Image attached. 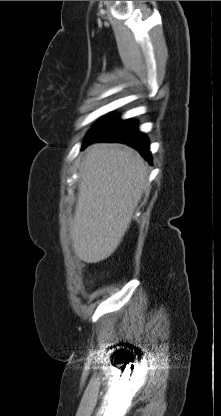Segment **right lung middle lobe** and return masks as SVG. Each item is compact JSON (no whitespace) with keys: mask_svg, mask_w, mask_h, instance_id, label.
I'll list each match as a JSON object with an SVG mask.
<instances>
[{"mask_svg":"<svg viewBox=\"0 0 221 416\" xmlns=\"http://www.w3.org/2000/svg\"><path fill=\"white\" fill-rule=\"evenodd\" d=\"M110 119V117L105 118L103 121L99 122L97 125H95L89 132V134H91L92 132H94L95 130H97L98 128H100L104 123H106L108 120ZM88 134V135H89Z\"/></svg>","mask_w":221,"mask_h":416,"instance_id":"right-lung-middle-lobe-1","label":"right lung middle lobe"}]
</instances>
